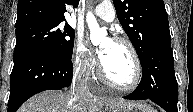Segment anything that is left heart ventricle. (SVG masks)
I'll return each mask as SVG.
<instances>
[{
    "mask_svg": "<svg viewBox=\"0 0 193 112\" xmlns=\"http://www.w3.org/2000/svg\"><path fill=\"white\" fill-rule=\"evenodd\" d=\"M100 46L107 47L106 56L101 62L106 75L117 84H129L134 76V62L129 49L110 40H104Z\"/></svg>",
    "mask_w": 193,
    "mask_h": 112,
    "instance_id": "1",
    "label": "left heart ventricle"
}]
</instances>
